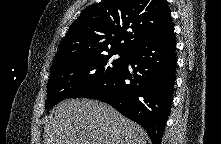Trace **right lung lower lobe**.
Wrapping results in <instances>:
<instances>
[{"instance_id":"right-lung-lower-lobe-1","label":"right lung lower lobe","mask_w":221,"mask_h":144,"mask_svg":"<svg viewBox=\"0 0 221 144\" xmlns=\"http://www.w3.org/2000/svg\"><path fill=\"white\" fill-rule=\"evenodd\" d=\"M175 75L176 40L171 25L131 49L113 77L82 97L111 105L141 125L153 144H161L170 114Z\"/></svg>"}]
</instances>
